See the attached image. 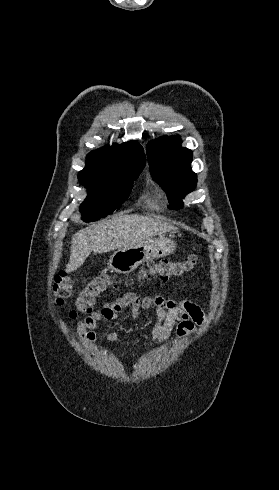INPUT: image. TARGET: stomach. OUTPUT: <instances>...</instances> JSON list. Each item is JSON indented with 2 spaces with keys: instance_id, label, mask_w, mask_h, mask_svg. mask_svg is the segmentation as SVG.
<instances>
[{
  "instance_id": "0dacf381",
  "label": "stomach",
  "mask_w": 279,
  "mask_h": 490,
  "mask_svg": "<svg viewBox=\"0 0 279 490\" xmlns=\"http://www.w3.org/2000/svg\"><path fill=\"white\" fill-rule=\"evenodd\" d=\"M175 250V242H172L169 238H164V236H159V238L144 240V242L135 244L132 248H121L118 252H114L108 266L116 274H130L147 260L165 258V256L174 254Z\"/></svg>"
}]
</instances>
